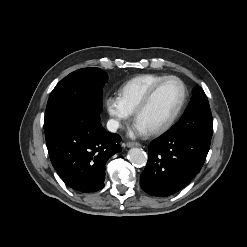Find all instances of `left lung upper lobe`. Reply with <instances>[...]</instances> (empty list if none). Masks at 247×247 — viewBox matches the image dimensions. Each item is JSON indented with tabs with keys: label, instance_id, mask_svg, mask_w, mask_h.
Wrapping results in <instances>:
<instances>
[{
	"label": "left lung upper lobe",
	"instance_id": "left-lung-upper-lobe-1",
	"mask_svg": "<svg viewBox=\"0 0 247 247\" xmlns=\"http://www.w3.org/2000/svg\"><path fill=\"white\" fill-rule=\"evenodd\" d=\"M170 130L188 135L212 137V114L207 96L200 86L194 88L193 96L183 117Z\"/></svg>",
	"mask_w": 247,
	"mask_h": 247
}]
</instances>
